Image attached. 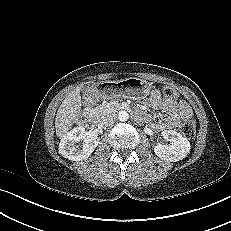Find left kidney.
I'll use <instances>...</instances> for the list:
<instances>
[{
    "label": "left kidney",
    "instance_id": "1",
    "mask_svg": "<svg viewBox=\"0 0 231 231\" xmlns=\"http://www.w3.org/2000/svg\"><path fill=\"white\" fill-rule=\"evenodd\" d=\"M162 136L169 144H158L154 147V152L160 159L176 162L184 159L190 152V142L180 133L174 130H164Z\"/></svg>",
    "mask_w": 231,
    "mask_h": 231
}]
</instances>
